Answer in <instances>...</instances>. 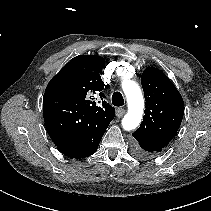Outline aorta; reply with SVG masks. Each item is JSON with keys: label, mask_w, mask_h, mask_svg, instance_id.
<instances>
[{"label": "aorta", "mask_w": 211, "mask_h": 211, "mask_svg": "<svg viewBox=\"0 0 211 211\" xmlns=\"http://www.w3.org/2000/svg\"><path fill=\"white\" fill-rule=\"evenodd\" d=\"M122 89L128 103V112L122 119V127L124 130L130 131L137 128L141 122L144 99L140 87L132 80L124 79Z\"/></svg>", "instance_id": "aorta-1"}]
</instances>
